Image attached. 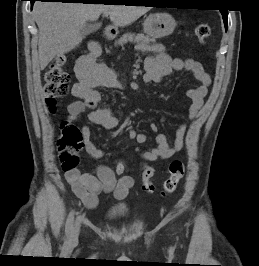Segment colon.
Instances as JSON below:
<instances>
[{"label": "colon", "instance_id": "5ec220e1", "mask_svg": "<svg viewBox=\"0 0 259 266\" xmlns=\"http://www.w3.org/2000/svg\"><path fill=\"white\" fill-rule=\"evenodd\" d=\"M197 39L204 43L211 35V28L207 23H200L195 29ZM66 58L59 56L55 63L48 69L44 76V94L47 106L51 111L56 109L58 101L64 97L69 90L70 75L65 69ZM59 159L65 173L77 171L79 165V151L82 149L83 136L80 130L69 122H63L61 126V137L58 141ZM126 167L124 164L116 166L119 175L124 174ZM154 168L148 165L142 167V188L146 192H152L154 185L152 178ZM185 173V164L180 160H175L169 165V176L163 183L162 195L173 193Z\"/></svg>", "mask_w": 259, "mask_h": 266}]
</instances>
